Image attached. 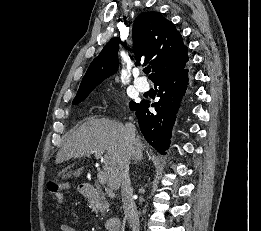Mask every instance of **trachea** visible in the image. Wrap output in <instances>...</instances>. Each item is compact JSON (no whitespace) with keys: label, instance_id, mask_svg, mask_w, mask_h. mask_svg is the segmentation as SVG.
Wrapping results in <instances>:
<instances>
[{"label":"trachea","instance_id":"1","mask_svg":"<svg viewBox=\"0 0 261 231\" xmlns=\"http://www.w3.org/2000/svg\"><path fill=\"white\" fill-rule=\"evenodd\" d=\"M150 71H151V68H145V69L143 70V72L146 73V74L150 73Z\"/></svg>","mask_w":261,"mask_h":231}]
</instances>
